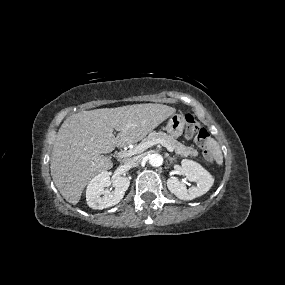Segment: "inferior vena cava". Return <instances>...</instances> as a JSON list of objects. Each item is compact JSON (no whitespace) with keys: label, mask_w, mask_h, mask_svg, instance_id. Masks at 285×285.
Returning <instances> with one entry per match:
<instances>
[{"label":"inferior vena cava","mask_w":285,"mask_h":285,"mask_svg":"<svg viewBox=\"0 0 285 285\" xmlns=\"http://www.w3.org/2000/svg\"><path fill=\"white\" fill-rule=\"evenodd\" d=\"M141 163V158L139 156H134L130 159H128L127 161V165L132 168V167H136Z\"/></svg>","instance_id":"inferior-vena-cava-1"}]
</instances>
